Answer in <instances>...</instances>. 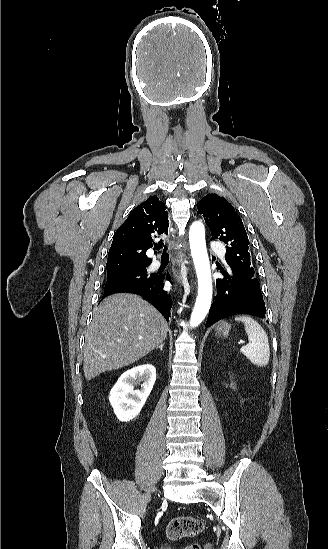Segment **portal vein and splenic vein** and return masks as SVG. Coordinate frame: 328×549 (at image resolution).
<instances>
[{"mask_svg":"<svg viewBox=\"0 0 328 549\" xmlns=\"http://www.w3.org/2000/svg\"><path fill=\"white\" fill-rule=\"evenodd\" d=\"M240 343H245V341H240Z\"/></svg>","mask_w":328,"mask_h":549,"instance_id":"18ae733b","label":"portal vein and splenic vein"}]
</instances>
